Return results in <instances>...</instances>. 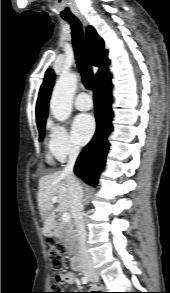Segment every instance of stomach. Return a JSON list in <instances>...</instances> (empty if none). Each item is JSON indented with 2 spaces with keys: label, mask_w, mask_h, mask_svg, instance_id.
<instances>
[{
  "label": "stomach",
  "mask_w": 170,
  "mask_h": 293,
  "mask_svg": "<svg viewBox=\"0 0 170 293\" xmlns=\"http://www.w3.org/2000/svg\"><path fill=\"white\" fill-rule=\"evenodd\" d=\"M52 234H54V232H49V235H52Z\"/></svg>",
  "instance_id": "1"
}]
</instances>
